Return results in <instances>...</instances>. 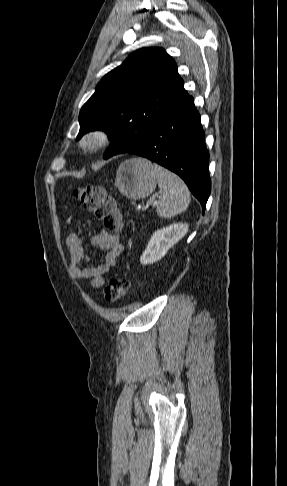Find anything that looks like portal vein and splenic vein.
Segmentation results:
<instances>
[{"label": "portal vein and splenic vein", "mask_w": 287, "mask_h": 486, "mask_svg": "<svg viewBox=\"0 0 287 486\" xmlns=\"http://www.w3.org/2000/svg\"><path fill=\"white\" fill-rule=\"evenodd\" d=\"M151 205H156V202H149L146 204V207L151 206Z\"/></svg>", "instance_id": "18ae733b"}]
</instances>
